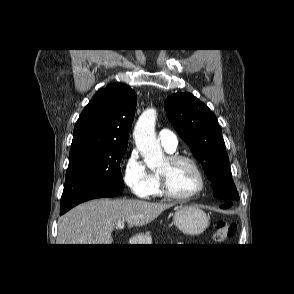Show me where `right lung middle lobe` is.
Here are the masks:
<instances>
[{
    "mask_svg": "<svg viewBox=\"0 0 294 294\" xmlns=\"http://www.w3.org/2000/svg\"><path fill=\"white\" fill-rule=\"evenodd\" d=\"M127 146H71L62 196L88 187H124L120 162Z\"/></svg>",
    "mask_w": 294,
    "mask_h": 294,
    "instance_id": "dd1d6c3e",
    "label": "right lung middle lobe"
}]
</instances>
